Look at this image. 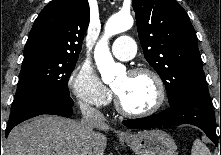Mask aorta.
<instances>
[{
    "mask_svg": "<svg viewBox=\"0 0 221 155\" xmlns=\"http://www.w3.org/2000/svg\"><path fill=\"white\" fill-rule=\"evenodd\" d=\"M133 26V18L130 15H113L106 23L104 36L95 47L94 58L104 83L114 80L120 65L115 63L108 47V39L116 34L125 32Z\"/></svg>",
    "mask_w": 221,
    "mask_h": 155,
    "instance_id": "aorta-1",
    "label": "aorta"
}]
</instances>
